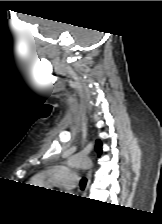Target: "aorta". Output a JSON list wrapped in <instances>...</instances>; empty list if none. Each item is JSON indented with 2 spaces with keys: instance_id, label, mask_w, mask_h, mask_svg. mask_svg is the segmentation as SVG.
<instances>
[{
  "instance_id": "obj_1",
  "label": "aorta",
  "mask_w": 162,
  "mask_h": 224,
  "mask_svg": "<svg viewBox=\"0 0 162 224\" xmlns=\"http://www.w3.org/2000/svg\"><path fill=\"white\" fill-rule=\"evenodd\" d=\"M67 165L72 168L88 169L92 167V161L87 156L76 154L67 160Z\"/></svg>"
}]
</instances>
